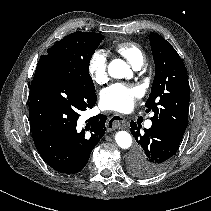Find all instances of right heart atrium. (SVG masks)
<instances>
[{
  "mask_svg": "<svg viewBox=\"0 0 211 211\" xmlns=\"http://www.w3.org/2000/svg\"><path fill=\"white\" fill-rule=\"evenodd\" d=\"M88 71L97 84H103L107 81V57L103 51L97 50L91 55L88 61Z\"/></svg>",
  "mask_w": 211,
  "mask_h": 211,
  "instance_id": "right-heart-atrium-1",
  "label": "right heart atrium"
}]
</instances>
